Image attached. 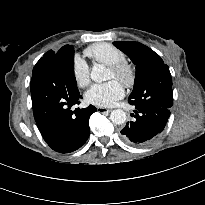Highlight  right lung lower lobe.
<instances>
[{"label":"right lung lower lobe","instance_id":"1","mask_svg":"<svg viewBox=\"0 0 205 205\" xmlns=\"http://www.w3.org/2000/svg\"><path fill=\"white\" fill-rule=\"evenodd\" d=\"M73 70L74 48L66 45L31 79L36 124L46 143L60 153L75 151L87 141L89 118L97 110L93 105L73 110L82 98Z\"/></svg>","mask_w":205,"mask_h":205}]
</instances>
